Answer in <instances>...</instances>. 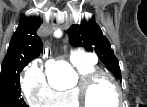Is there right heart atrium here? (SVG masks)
I'll list each match as a JSON object with an SVG mask.
<instances>
[{"mask_svg":"<svg viewBox=\"0 0 147 107\" xmlns=\"http://www.w3.org/2000/svg\"><path fill=\"white\" fill-rule=\"evenodd\" d=\"M21 88L31 106L44 107L55 101V91L48 84L43 66L38 61L27 68L21 80Z\"/></svg>","mask_w":147,"mask_h":107,"instance_id":"d8ad5b80","label":"right heart atrium"}]
</instances>
